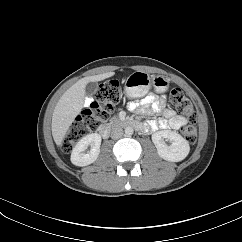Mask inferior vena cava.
<instances>
[{"instance_id":"obj_1","label":"inferior vena cava","mask_w":242,"mask_h":242,"mask_svg":"<svg viewBox=\"0 0 242 242\" xmlns=\"http://www.w3.org/2000/svg\"><path fill=\"white\" fill-rule=\"evenodd\" d=\"M123 135V130L121 128H113L112 132H111V138L112 139H119L121 138Z\"/></svg>"}]
</instances>
